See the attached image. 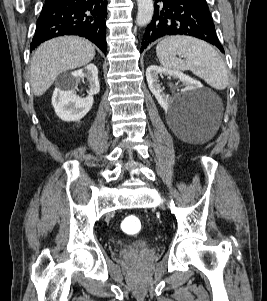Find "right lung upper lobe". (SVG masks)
Here are the masks:
<instances>
[{
  "instance_id": "obj_1",
  "label": "right lung upper lobe",
  "mask_w": 267,
  "mask_h": 301,
  "mask_svg": "<svg viewBox=\"0 0 267 301\" xmlns=\"http://www.w3.org/2000/svg\"><path fill=\"white\" fill-rule=\"evenodd\" d=\"M53 0H45V3H49L52 2Z\"/></svg>"
}]
</instances>
